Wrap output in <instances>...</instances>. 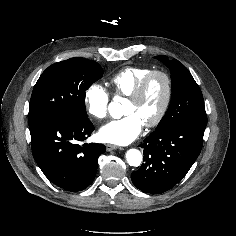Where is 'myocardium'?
Returning a JSON list of instances; mask_svg holds the SVG:
<instances>
[{
	"instance_id": "f54148a6",
	"label": "myocardium",
	"mask_w": 236,
	"mask_h": 236,
	"mask_svg": "<svg viewBox=\"0 0 236 236\" xmlns=\"http://www.w3.org/2000/svg\"><path fill=\"white\" fill-rule=\"evenodd\" d=\"M156 76L161 77L164 81L165 95H164L162 106L159 112L157 113V115L152 120L144 123L145 126L147 127L157 126L163 120V118L165 117L169 109L171 99H172V91H173L172 79L170 75L163 70H152L140 81V83L136 86L133 92L128 96L129 100H132V101L139 100L143 96L152 78Z\"/></svg>"
}]
</instances>
